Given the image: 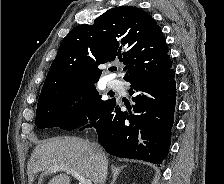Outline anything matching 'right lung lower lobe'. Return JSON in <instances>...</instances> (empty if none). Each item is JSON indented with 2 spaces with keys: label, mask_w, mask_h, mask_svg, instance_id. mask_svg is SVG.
I'll use <instances>...</instances> for the list:
<instances>
[{
  "label": "right lung lower lobe",
  "mask_w": 224,
  "mask_h": 184,
  "mask_svg": "<svg viewBox=\"0 0 224 184\" xmlns=\"http://www.w3.org/2000/svg\"><path fill=\"white\" fill-rule=\"evenodd\" d=\"M127 82L131 83L130 95L135 94L132 108L123 112L112 99L87 127L96 129L99 143L111 155L159 164L171 142L176 103L174 69L171 64Z\"/></svg>",
  "instance_id": "98d812e1"
}]
</instances>
